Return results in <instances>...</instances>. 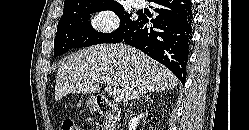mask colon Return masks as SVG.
Segmentation results:
<instances>
[{"label":"colon","instance_id":"colon-1","mask_svg":"<svg viewBox=\"0 0 249 130\" xmlns=\"http://www.w3.org/2000/svg\"><path fill=\"white\" fill-rule=\"evenodd\" d=\"M62 130H82V128L72 119H64L61 125Z\"/></svg>","mask_w":249,"mask_h":130}]
</instances>
